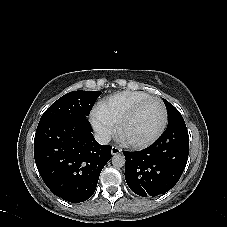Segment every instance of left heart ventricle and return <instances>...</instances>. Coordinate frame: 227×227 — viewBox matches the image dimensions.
Masks as SVG:
<instances>
[{
  "label": "left heart ventricle",
  "mask_w": 227,
  "mask_h": 227,
  "mask_svg": "<svg viewBox=\"0 0 227 227\" xmlns=\"http://www.w3.org/2000/svg\"><path fill=\"white\" fill-rule=\"evenodd\" d=\"M163 120V109L157 101L146 103L137 115L124 127L126 140L141 142L152 137Z\"/></svg>",
  "instance_id": "left-heart-ventricle-1"
}]
</instances>
